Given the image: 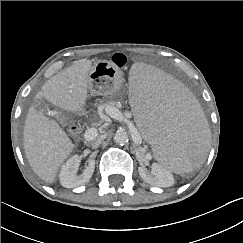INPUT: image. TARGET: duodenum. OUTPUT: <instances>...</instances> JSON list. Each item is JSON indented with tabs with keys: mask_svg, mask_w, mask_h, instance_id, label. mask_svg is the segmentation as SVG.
<instances>
[{
	"mask_svg": "<svg viewBox=\"0 0 243 243\" xmlns=\"http://www.w3.org/2000/svg\"><path fill=\"white\" fill-rule=\"evenodd\" d=\"M75 132H78V127H73L72 128Z\"/></svg>",
	"mask_w": 243,
	"mask_h": 243,
	"instance_id": "1",
	"label": "duodenum"
}]
</instances>
